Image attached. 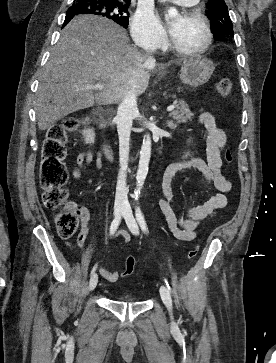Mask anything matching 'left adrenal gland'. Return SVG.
Instances as JSON below:
<instances>
[{
    "mask_svg": "<svg viewBox=\"0 0 276 363\" xmlns=\"http://www.w3.org/2000/svg\"><path fill=\"white\" fill-rule=\"evenodd\" d=\"M167 126L171 129H174L176 127V124H174L173 121H167Z\"/></svg>",
    "mask_w": 276,
    "mask_h": 363,
    "instance_id": "a2214340",
    "label": "left adrenal gland"
}]
</instances>
